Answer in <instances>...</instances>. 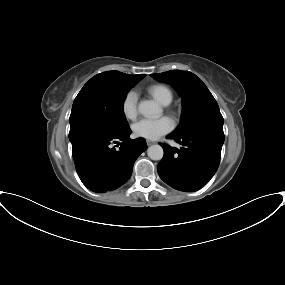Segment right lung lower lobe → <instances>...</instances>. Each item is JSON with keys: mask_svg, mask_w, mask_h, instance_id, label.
Listing matches in <instances>:
<instances>
[{"mask_svg": "<svg viewBox=\"0 0 285 285\" xmlns=\"http://www.w3.org/2000/svg\"><path fill=\"white\" fill-rule=\"evenodd\" d=\"M130 134V128L120 134L88 131L70 140L77 173L88 189L104 193L127 182L134 162L147 148L144 138L132 140Z\"/></svg>", "mask_w": 285, "mask_h": 285, "instance_id": "98d812e1", "label": "right lung lower lobe"}]
</instances>
